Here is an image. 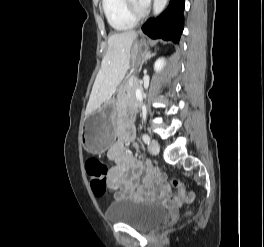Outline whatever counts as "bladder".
<instances>
[{
  "mask_svg": "<svg viewBox=\"0 0 264 247\" xmlns=\"http://www.w3.org/2000/svg\"><path fill=\"white\" fill-rule=\"evenodd\" d=\"M106 218L111 223H122L138 230H152L168 219L166 209L158 204L132 198L110 203Z\"/></svg>",
  "mask_w": 264,
  "mask_h": 247,
  "instance_id": "obj_1",
  "label": "bladder"
}]
</instances>
